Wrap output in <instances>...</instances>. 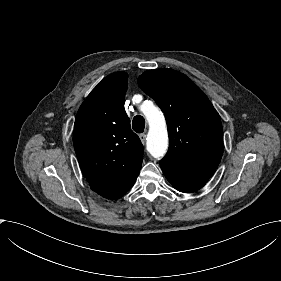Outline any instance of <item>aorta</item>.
Masks as SVG:
<instances>
[{
    "mask_svg": "<svg viewBox=\"0 0 281 281\" xmlns=\"http://www.w3.org/2000/svg\"><path fill=\"white\" fill-rule=\"evenodd\" d=\"M141 110L149 123L146 147L154 158H161L168 148V133L162 112L153 103H144Z\"/></svg>",
    "mask_w": 281,
    "mask_h": 281,
    "instance_id": "obj_1",
    "label": "aorta"
}]
</instances>
